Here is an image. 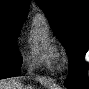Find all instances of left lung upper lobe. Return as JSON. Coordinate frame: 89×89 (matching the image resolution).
<instances>
[{
  "instance_id": "5c2ea615",
  "label": "left lung upper lobe",
  "mask_w": 89,
  "mask_h": 89,
  "mask_svg": "<svg viewBox=\"0 0 89 89\" xmlns=\"http://www.w3.org/2000/svg\"><path fill=\"white\" fill-rule=\"evenodd\" d=\"M69 56L68 89H87L84 61L89 45V0H35Z\"/></svg>"
}]
</instances>
